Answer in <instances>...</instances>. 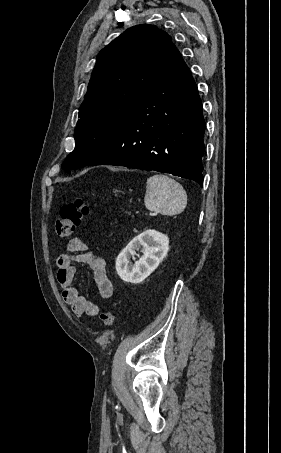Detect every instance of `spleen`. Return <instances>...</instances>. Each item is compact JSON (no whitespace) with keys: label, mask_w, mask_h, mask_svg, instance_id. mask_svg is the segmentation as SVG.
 I'll return each instance as SVG.
<instances>
[{"label":"spleen","mask_w":281,"mask_h":453,"mask_svg":"<svg viewBox=\"0 0 281 453\" xmlns=\"http://www.w3.org/2000/svg\"><path fill=\"white\" fill-rule=\"evenodd\" d=\"M187 204V194L174 178L154 174L147 180L145 206L161 214H180Z\"/></svg>","instance_id":"1"}]
</instances>
